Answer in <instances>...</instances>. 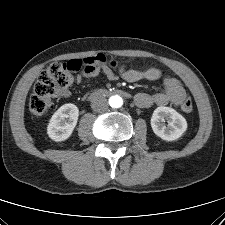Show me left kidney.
<instances>
[{
    "label": "left kidney",
    "mask_w": 225,
    "mask_h": 225,
    "mask_svg": "<svg viewBox=\"0 0 225 225\" xmlns=\"http://www.w3.org/2000/svg\"><path fill=\"white\" fill-rule=\"evenodd\" d=\"M167 120L166 126L163 122ZM153 132L163 140L174 141L181 137L187 130L186 119L170 107H158L151 118Z\"/></svg>",
    "instance_id": "5707ae66"
}]
</instances>
